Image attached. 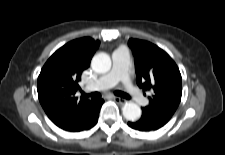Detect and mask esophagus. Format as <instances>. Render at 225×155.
Here are the masks:
<instances>
[{"label":"esophagus","instance_id":"34e87169","mask_svg":"<svg viewBox=\"0 0 225 155\" xmlns=\"http://www.w3.org/2000/svg\"><path fill=\"white\" fill-rule=\"evenodd\" d=\"M114 101H116L117 103L123 105L124 103H126V100L117 96L113 97Z\"/></svg>","mask_w":225,"mask_h":155}]
</instances>
